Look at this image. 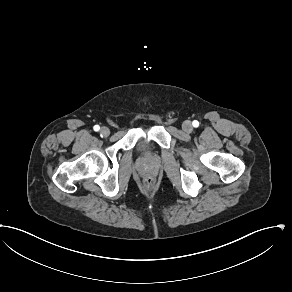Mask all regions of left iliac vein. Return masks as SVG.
Here are the masks:
<instances>
[{
    "instance_id": "obj_1",
    "label": "left iliac vein",
    "mask_w": 292,
    "mask_h": 292,
    "mask_svg": "<svg viewBox=\"0 0 292 292\" xmlns=\"http://www.w3.org/2000/svg\"><path fill=\"white\" fill-rule=\"evenodd\" d=\"M182 129L185 132H187V133L191 132L193 130V124H192V122L191 121H188V120L185 121V122H183Z\"/></svg>"
}]
</instances>
